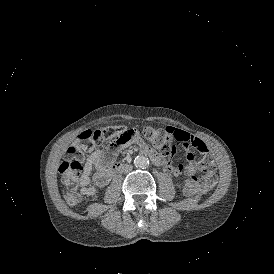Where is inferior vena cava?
Listing matches in <instances>:
<instances>
[{
	"label": "inferior vena cava",
	"instance_id": "obj_1",
	"mask_svg": "<svg viewBox=\"0 0 274 274\" xmlns=\"http://www.w3.org/2000/svg\"><path fill=\"white\" fill-rule=\"evenodd\" d=\"M132 170V166L131 165H124L123 166V171L124 172H129V171H131Z\"/></svg>",
	"mask_w": 274,
	"mask_h": 274
}]
</instances>
